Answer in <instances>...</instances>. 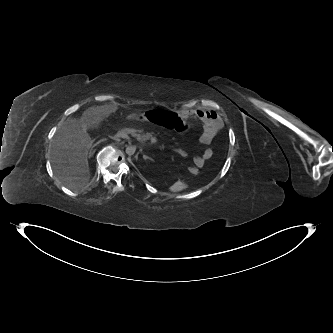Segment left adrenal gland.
Returning <instances> with one entry per match:
<instances>
[{"instance_id":"a2214340","label":"left adrenal gland","mask_w":333,"mask_h":333,"mask_svg":"<svg viewBox=\"0 0 333 333\" xmlns=\"http://www.w3.org/2000/svg\"><path fill=\"white\" fill-rule=\"evenodd\" d=\"M143 159H144V160H147V159H148V160H152V158L146 156L145 154L143 155Z\"/></svg>"}]
</instances>
